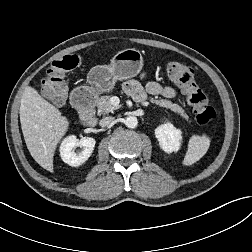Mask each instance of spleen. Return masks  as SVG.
<instances>
[{"mask_svg": "<svg viewBox=\"0 0 252 252\" xmlns=\"http://www.w3.org/2000/svg\"><path fill=\"white\" fill-rule=\"evenodd\" d=\"M210 146V138L207 135L191 136L188 149L183 160V165L190 166L199 161L207 152Z\"/></svg>", "mask_w": 252, "mask_h": 252, "instance_id": "obj_1", "label": "spleen"}]
</instances>
